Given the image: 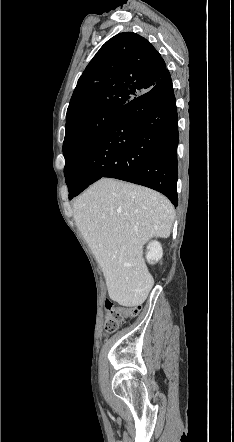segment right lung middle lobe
Here are the masks:
<instances>
[{"label":"right lung middle lobe","mask_w":234,"mask_h":442,"mask_svg":"<svg viewBox=\"0 0 234 442\" xmlns=\"http://www.w3.org/2000/svg\"><path fill=\"white\" fill-rule=\"evenodd\" d=\"M119 111L120 108L102 109L66 124L63 154L65 157L64 175L68 186L71 183L72 169L101 139Z\"/></svg>","instance_id":"obj_1"}]
</instances>
